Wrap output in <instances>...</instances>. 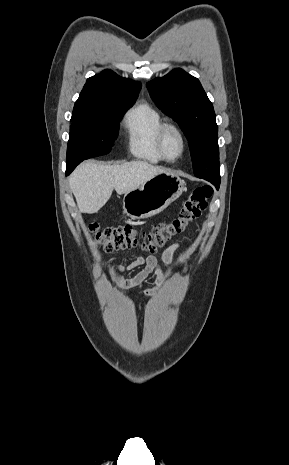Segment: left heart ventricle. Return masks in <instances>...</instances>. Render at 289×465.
I'll return each mask as SVG.
<instances>
[{"label": "left heart ventricle", "mask_w": 289, "mask_h": 465, "mask_svg": "<svg viewBox=\"0 0 289 465\" xmlns=\"http://www.w3.org/2000/svg\"><path fill=\"white\" fill-rule=\"evenodd\" d=\"M165 149L166 153L169 157L174 158L176 157L181 151V141L178 135L170 131L166 137L165 142Z\"/></svg>", "instance_id": "1"}]
</instances>
